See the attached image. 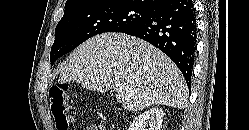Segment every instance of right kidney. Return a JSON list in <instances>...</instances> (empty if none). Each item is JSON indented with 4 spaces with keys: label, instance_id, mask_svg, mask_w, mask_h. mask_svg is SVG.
Instances as JSON below:
<instances>
[{
    "label": "right kidney",
    "instance_id": "ca27d5eb",
    "mask_svg": "<svg viewBox=\"0 0 249 130\" xmlns=\"http://www.w3.org/2000/svg\"><path fill=\"white\" fill-rule=\"evenodd\" d=\"M163 116L162 109L151 108L135 117L129 130H161Z\"/></svg>",
    "mask_w": 249,
    "mask_h": 130
}]
</instances>
